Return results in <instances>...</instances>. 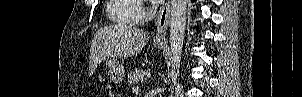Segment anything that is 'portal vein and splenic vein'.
Here are the masks:
<instances>
[{
    "instance_id": "obj_1",
    "label": "portal vein and splenic vein",
    "mask_w": 302,
    "mask_h": 97,
    "mask_svg": "<svg viewBox=\"0 0 302 97\" xmlns=\"http://www.w3.org/2000/svg\"><path fill=\"white\" fill-rule=\"evenodd\" d=\"M140 90L141 89L139 86L133 88V92H135V93H138Z\"/></svg>"
}]
</instances>
